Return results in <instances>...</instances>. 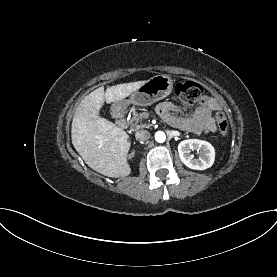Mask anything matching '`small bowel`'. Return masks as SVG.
I'll list each match as a JSON object with an SVG mask.
<instances>
[{
    "label": "small bowel",
    "mask_w": 277,
    "mask_h": 277,
    "mask_svg": "<svg viewBox=\"0 0 277 277\" xmlns=\"http://www.w3.org/2000/svg\"><path fill=\"white\" fill-rule=\"evenodd\" d=\"M220 109V103L212 97H204L189 117L180 116L178 107L172 102L165 101L157 106V112L169 125L194 134L215 132L216 120L213 114Z\"/></svg>",
    "instance_id": "c3829d8e"
}]
</instances>
